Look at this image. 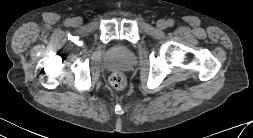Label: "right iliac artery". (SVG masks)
<instances>
[{
	"mask_svg": "<svg viewBox=\"0 0 253 138\" xmlns=\"http://www.w3.org/2000/svg\"><path fill=\"white\" fill-rule=\"evenodd\" d=\"M64 24H65L66 26H69V25L71 24V20H70V19H66V20L64 21Z\"/></svg>",
	"mask_w": 253,
	"mask_h": 138,
	"instance_id": "right-iliac-artery-1",
	"label": "right iliac artery"
}]
</instances>
